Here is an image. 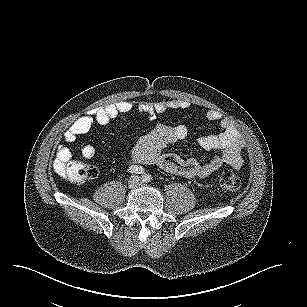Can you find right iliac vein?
Instances as JSON below:
<instances>
[{
    "mask_svg": "<svg viewBox=\"0 0 307 307\" xmlns=\"http://www.w3.org/2000/svg\"><path fill=\"white\" fill-rule=\"evenodd\" d=\"M137 183H138V177H137V176H132V177L129 179V181H128V187H129L130 189H133V188L136 187Z\"/></svg>",
    "mask_w": 307,
    "mask_h": 307,
    "instance_id": "1",
    "label": "right iliac vein"
}]
</instances>
